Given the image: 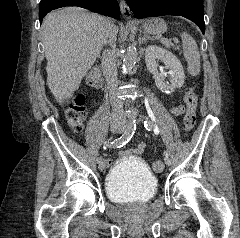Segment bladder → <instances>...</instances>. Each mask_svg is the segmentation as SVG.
Masks as SVG:
<instances>
[{
	"label": "bladder",
	"instance_id": "obj_1",
	"mask_svg": "<svg viewBox=\"0 0 240 238\" xmlns=\"http://www.w3.org/2000/svg\"><path fill=\"white\" fill-rule=\"evenodd\" d=\"M105 188L108 198L113 202L142 204L153 199L158 180L142 159L125 155L108 173Z\"/></svg>",
	"mask_w": 240,
	"mask_h": 238
}]
</instances>
